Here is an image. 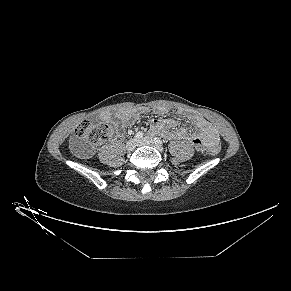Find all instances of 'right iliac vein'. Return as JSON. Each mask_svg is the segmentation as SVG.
<instances>
[{
	"label": "right iliac vein",
	"mask_w": 291,
	"mask_h": 291,
	"mask_svg": "<svg viewBox=\"0 0 291 291\" xmlns=\"http://www.w3.org/2000/svg\"><path fill=\"white\" fill-rule=\"evenodd\" d=\"M137 146V140L136 139H131L126 143V149L128 151H133Z\"/></svg>",
	"instance_id": "63e3f726"
}]
</instances>
